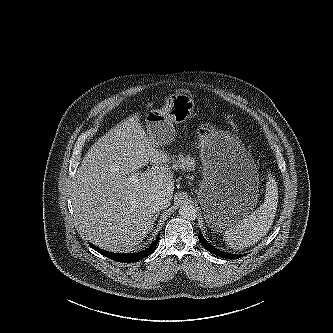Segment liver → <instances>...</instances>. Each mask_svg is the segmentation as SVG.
I'll use <instances>...</instances> for the list:
<instances>
[{
	"mask_svg": "<svg viewBox=\"0 0 333 333\" xmlns=\"http://www.w3.org/2000/svg\"><path fill=\"white\" fill-rule=\"evenodd\" d=\"M145 133L133 115L102 136L86 153L72 183L78 230L110 252H130L152 227L153 199L174 191L170 156ZM153 163L136 182L129 173Z\"/></svg>",
	"mask_w": 333,
	"mask_h": 333,
	"instance_id": "obj_1",
	"label": "liver"
}]
</instances>
